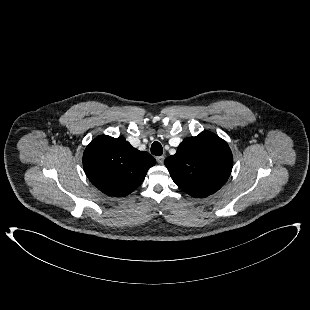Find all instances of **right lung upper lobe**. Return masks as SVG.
<instances>
[{"mask_svg": "<svg viewBox=\"0 0 310 310\" xmlns=\"http://www.w3.org/2000/svg\"><path fill=\"white\" fill-rule=\"evenodd\" d=\"M155 159L131 146L123 137L99 136L83 154L85 173L92 184L109 196L122 197L144 180Z\"/></svg>", "mask_w": 310, "mask_h": 310, "instance_id": "1", "label": "right lung upper lobe"}]
</instances>
